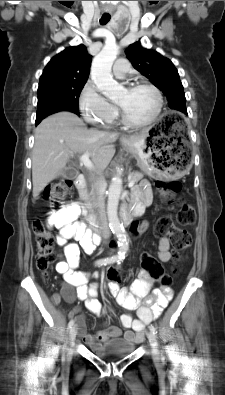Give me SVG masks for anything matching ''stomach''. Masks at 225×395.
Instances as JSON below:
<instances>
[{
  "label": "stomach",
  "instance_id": "obj_1",
  "mask_svg": "<svg viewBox=\"0 0 225 395\" xmlns=\"http://www.w3.org/2000/svg\"><path fill=\"white\" fill-rule=\"evenodd\" d=\"M122 144L135 156L140 169L151 177L169 180L186 173L188 164L183 148L186 142L180 135L167 133L158 123L127 136Z\"/></svg>",
  "mask_w": 225,
  "mask_h": 395
}]
</instances>
